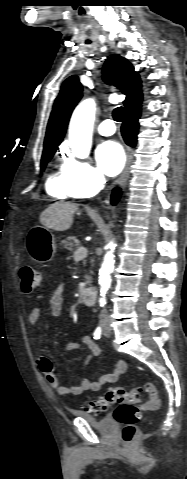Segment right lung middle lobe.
Here are the masks:
<instances>
[{
  "instance_id": "obj_1",
  "label": "right lung middle lobe",
  "mask_w": 187,
  "mask_h": 479,
  "mask_svg": "<svg viewBox=\"0 0 187 479\" xmlns=\"http://www.w3.org/2000/svg\"><path fill=\"white\" fill-rule=\"evenodd\" d=\"M56 150H48L46 152H43L42 159H41V167L42 170L46 166V163L50 161L52 158L53 154L55 153Z\"/></svg>"
}]
</instances>
